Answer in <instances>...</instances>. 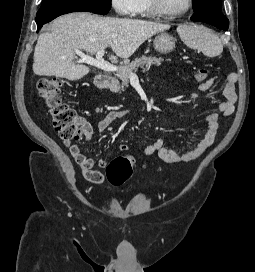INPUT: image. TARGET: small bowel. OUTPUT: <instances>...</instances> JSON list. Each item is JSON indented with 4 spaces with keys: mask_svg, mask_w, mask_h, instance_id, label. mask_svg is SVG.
<instances>
[{
    "mask_svg": "<svg viewBox=\"0 0 255 272\" xmlns=\"http://www.w3.org/2000/svg\"><path fill=\"white\" fill-rule=\"evenodd\" d=\"M237 74L229 73L226 76V82L222 91L224 101L218 104V112L212 113L206 117L207 129L201 140L189 151L177 152L172 148L164 146V139L159 137L152 143H150L144 150V155L158 156V159L163 164H187L198 158H200L207 149L213 144L219 127V119L221 116H229L233 113L234 107L237 101V94L235 91V84L237 82ZM216 82L215 77H210L199 85V91L206 92L210 90ZM130 114V110H113L110 111L103 119H101L96 127H92L89 123L82 121V127L84 130L85 140L90 142L95 133H102L107 130L116 120L122 119ZM65 145L69 147L70 155L74 162L80 167L84 177L96 184L104 182V175L95 169L98 165L100 168L106 166V161L96 160L85 153H83L77 144L71 142H65ZM121 151H126L128 145L121 143L119 146Z\"/></svg>",
    "mask_w": 255,
    "mask_h": 272,
    "instance_id": "1",
    "label": "small bowel"
}]
</instances>
